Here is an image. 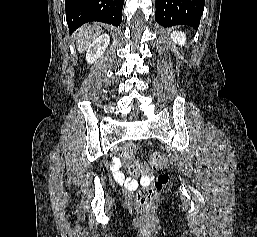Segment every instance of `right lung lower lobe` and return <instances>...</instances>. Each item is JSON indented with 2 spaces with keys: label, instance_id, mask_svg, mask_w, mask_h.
Wrapping results in <instances>:
<instances>
[{
  "label": "right lung lower lobe",
  "instance_id": "obj_1",
  "mask_svg": "<svg viewBox=\"0 0 257 237\" xmlns=\"http://www.w3.org/2000/svg\"><path fill=\"white\" fill-rule=\"evenodd\" d=\"M124 0H65L66 20L70 30L91 21L119 26Z\"/></svg>",
  "mask_w": 257,
  "mask_h": 237
}]
</instances>
